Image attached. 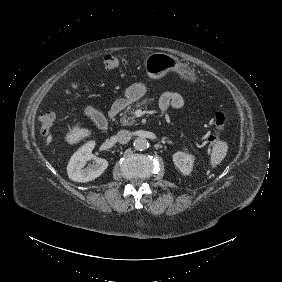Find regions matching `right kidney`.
Returning <instances> with one entry per match:
<instances>
[{"instance_id": "ca27d5eb", "label": "right kidney", "mask_w": 282, "mask_h": 282, "mask_svg": "<svg viewBox=\"0 0 282 282\" xmlns=\"http://www.w3.org/2000/svg\"><path fill=\"white\" fill-rule=\"evenodd\" d=\"M94 142L83 146L70 160L68 176L76 182H89L99 177L107 168L108 162L91 153Z\"/></svg>"}]
</instances>
